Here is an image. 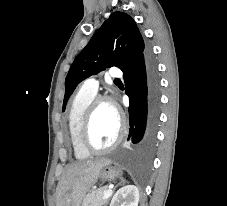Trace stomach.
I'll return each instance as SVG.
<instances>
[{
  "instance_id": "obj_1",
  "label": "stomach",
  "mask_w": 227,
  "mask_h": 206,
  "mask_svg": "<svg viewBox=\"0 0 227 206\" xmlns=\"http://www.w3.org/2000/svg\"><path fill=\"white\" fill-rule=\"evenodd\" d=\"M121 175V170L112 166L109 161L105 164L99 174V177L102 181H113L115 178Z\"/></svg>"
}]
</instances>
